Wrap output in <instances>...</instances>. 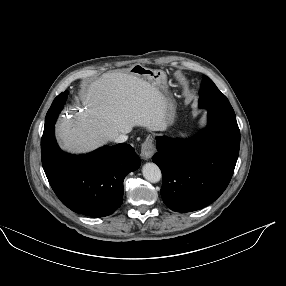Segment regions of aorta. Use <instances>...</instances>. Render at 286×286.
<instances>
[{
    "label": "aorta",
    "instance_id": "1",
    "mask_svg": "<svg viewBox=\"0 0 286 286\" xmlns=\"http://www.w3.org/2000/svg\"><path fill=\"white\" fill-rule=\"evenodd\" d=\"M143 177L151 183H157L162 177L160 168L154 163H146L142 168Z\"/></svg>",
    "mask_w": 286,
    "mask_h": 286
}]
</instances>
